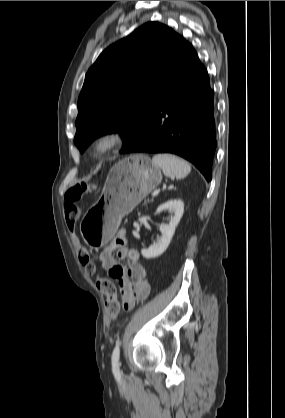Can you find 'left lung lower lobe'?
Here are the masks:
<instances>
[{"mask_svg":"<svg viewBox=\"0 0 285 418\" xmlns=\"http://www.w3.org/2000/svg\"><path fill=\"white\" fill-rule=\"evenodd\" d=\"M214 113L207 70L185 40L141 136L126 153H173L192 162L210 181L217 146Z\"/></svg>","mask_w":285,"mask_h":418,"instance_id":"left-lung-lower-lobe-1","label":"left lung lower lobe"}]
</instances>
